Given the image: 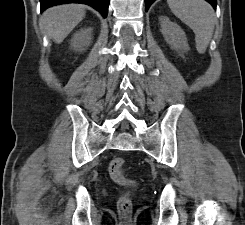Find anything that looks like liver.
<instances>
[{
  "label": "liver",
  "instance_id": "1",
  "mask_svg": "<svg viewBox=\"0 0 245 225\" xmlns=\"http://www.w3.org/2000/svg\"><path fill=\"white\" fill-rule=\"evenodd\" d=\"M85 17V7L78 4L58 5L47 9L41 24L49 38L61 43Z\"/></svg>",
  "mask_w": 245,
  "mask_h": 225
}]
</instances>
